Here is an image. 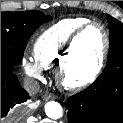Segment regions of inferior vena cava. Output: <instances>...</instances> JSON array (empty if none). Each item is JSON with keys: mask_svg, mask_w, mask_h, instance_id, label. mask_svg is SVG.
Masks as SVG:
<instances>
[{"mask_svg": "<svg viewBox=\"0 0 123 123\" xmlns=\"http://www.w3.org/2000/svg\"><path fill=\"white\" fill-rule=\"evenodd\" d=\"M24 89L30 94L35 95L40 90V84L33 78H25L23 81Z\"/></svg>", "mask_w": 123, "mask_h": 123, "instance_id": "1", "label": "inferior vena cava"}]
</instances>
